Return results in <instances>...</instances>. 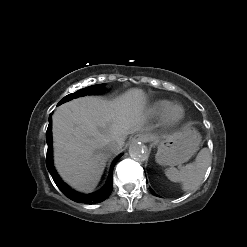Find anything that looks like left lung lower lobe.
I'll use <instances>...</instances> for the list:
<instances>
[{
  "label": "left lung lower lobe",
  "mask_w": 247,
  "mask_h": 247,
  "mask_svg": "<svg viewBox=\"0 0 247 247\" xmlns=\"http://www.w3.org/2000/svg\"><path fill=\"white\" fill-rule=\"evenodd\" d=\"M150 191H151L152 194L156 195L155 192H154L152 189H150ZM156 196H157V195H156Z\"/></svg>",
  "instance_id": "0a47b994"
}]
</instances>
